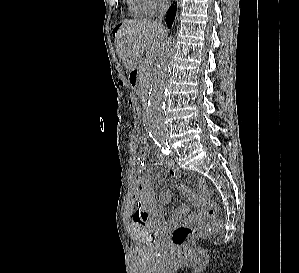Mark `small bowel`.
<instances>
[{
    "label": "small bowel",
    "instance_id": "c3829d8e",
    "mask_svg": "<svg viewBox=\"0 0 299 273\" xmlns=\"http://www.w3.org/2000/svg\"><path fill=\"white\" fill-rule=\"evenodd\" d=\"M148 149L142 148L137 156V166L141 171L144 166L145 156ZM160 162L165 166L168 173L173 178L179 177V170L173 162L163 157H160ZM178 189L184 194V196L195 205H200V199L197 195L191 192L188 188L181 185ZM171 201V194L168 191H162L159 194V203H157L154 191L151 187V178L149 175H142L135 180V194L134 202L136 204V210L133 214V220L138 222L139 220L154 215L159 219L164 218L165 206ZM192 216L189 214V209L186 206L180 207L172 216V221L177 222L183 219H190Z\"/></svg>",
    "mask_w": 299,
    "mask_h": 273
}]
</instances>
